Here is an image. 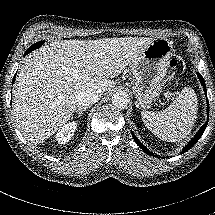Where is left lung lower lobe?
Listing matches in <instances>:
<instances>
[{
    "mask_svg": "<svg viewBox=\"0 0 215 215\" xmlns=\"http://www.w3.org/2000/svg\"><path fill=\"white\" fill-rule=\"evenodd\" d=\"M198 78L204 88L205 94L207 92L206 90V84L205 81L203 79V77L201 76L200 73L197 72ZM207 96V94H206ZM207 113L209 114V104H208V100H207ZM207 126V122L200 128V130L198 131V133L194 136V138L184 147V149L182 150L181 154L185 153L186 151H188L202 136L203 132L205 131ZM132 136L135 140V142L138 144V146L148 155L151 156H156L154 153L150 152L147 148H145V146L137 139V137L134 135V133L131 131ZM158 157V155H157ZM159 158H161V156H159Z\"/></svg>",
    "mask_w": 215,
    "mask_h": 215,
    "instance_id": "left-lung-lower-lobe-1",
    "label": "left lung lower lobe"
}]
</instances>
